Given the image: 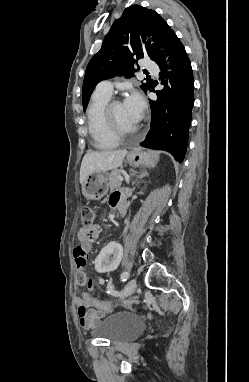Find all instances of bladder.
<instances>
[{"instance_id": "1", "label": "bladder", "mask_w": 249, "mask_h": 382, "mask_svg": "<svg viewBox=\"0 0 249 382\" xmlns=\"http://www.w3.org/2000/svg\"><path fill=\"white\" fill-rule=\"evenodd\" d=\"M143 319L133 313L107 316L93 329V335L111 342L133 339L144 329Z\"/></svg>"}]
</instances>
